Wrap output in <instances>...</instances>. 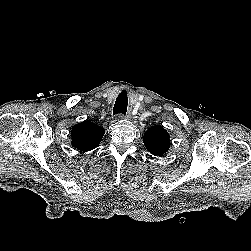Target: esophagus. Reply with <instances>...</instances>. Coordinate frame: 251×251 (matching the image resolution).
Masks as SVG:
<instances>
[{
  "instance_id": "34e87169",
  "label": "esophagus",
  "mask_w": 251,
  "mask_h": 251,
  "mask_svg": "<svg viewBox=\"0 0 251 251\" xmlns=\"http://www.w3.org/2000/svg\"><path fill=\"white\" fill-rule=\"evenodd\" d=\"M131 117H132V111H131V109H129V110L127 111L126 115H125V118L131 119Z\"/></svg>"
}]
</instances>
